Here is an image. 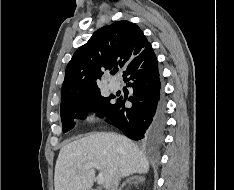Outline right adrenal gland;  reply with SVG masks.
<instances>
[{"label":"right adrenal gland","mask_w":234,"mask_h":190,"mask_svg":"<svg viewBox=\"0 0 234 190\" xmlns=\"http://www.w3.org/2000/svg\"><path fill=\"white\" fill-rule=\"evenodd\" d=\"M144 181V177L143 176H132L129 177L118 190H122L127 184H138L140 182Z\"/></svg>","instance_id":"2a0ac1e0"}]
</instances>
